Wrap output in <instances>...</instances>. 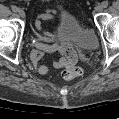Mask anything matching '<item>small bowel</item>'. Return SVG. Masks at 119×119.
<instances>
[{
  "label": "small bowel",
  "mask_w": 119,
  "mask_h": 119,
  "mask_svg": "<svg viewBox=\"0 0 119 119\" xmlns=\"http://www.w3.org/2000/svg\"><path fill=\"white\" fill-rule=\"evenodd\" d=\"M56 12L54 10L43 11L36 19L35 26L40 32L41 41L34 43V49L30 53V59L38 71V73L45 75L48 73V67L42 63V58L45 53H52L57 50L61 51V57L53 63L55 69H62L69 66H74L77 62V56L74 50L69 45L59 47L56 44L55 35L43 31L41 22L45 20L54 19Z\"/></svg>",
  "instance_id": "c3829d8e"
}]
</instances>
